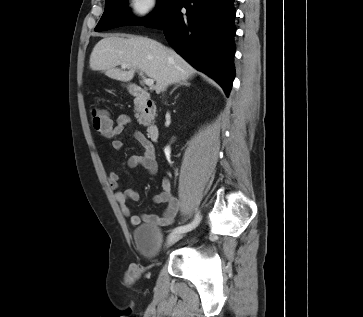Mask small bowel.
<instances>
[{
	"label": "small bowel",
	"mask_w": 363,
	"mask_h": 317,
	"mask_svg": "<svg viewBox=\"0 0 363 317\" xmlns=\"http://www.w3.org/2000/svg\"><path fill=\"white\" fill-rule=\"evenodd\" d=\"M131 120L127 115L118 117L116 124L111 125L110 129L102 132V135L111 139V146L114 151H121L123 142L118 138L124 130L130 125ZM135 139L141 144L144 152L140 155H132L127 159V166L135 168L141 166L145 168L150 175H156L158 172V163L156 160V152L153 142L141 131L134 133ZM109 185L115 190V197L119 203L123 214L129 218L133 225L141 222V218L137 215L131 214L128 207L129 201H139L140 194L135 189L120 190L119 189V174L115 171L111 172L108 177ZM162 191L153 196L154 203H166L167 207L161 216L149 214L144 215L143 218L156 225L169 226L174 223L179 210L180 202L171 192V181L168 177L162 179Z\"/></svg>",
	"instance_id": "small-bowel-1"
}]
</instances>
